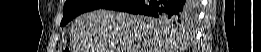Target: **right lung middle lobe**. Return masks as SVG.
<instances>
[{
  "instance_id": "dd1d6c3e",
  "label": "right lung middle lobe",
  "mask_w": 261,
  "mask_h": 52,
  "mask_svg": "<svg viewBox=\"0 0 261 52\" xmlns=\"http://www.w3.org/2000/svg\"><path fill=\"white\" fill-rule=\"evenodd\" d=\"M111 2L112 0H67L64 5L63 19L60 25L61 26L66 25L70 20H72L77 15L98 8H103L105 5ZM188 3L191 5L192 8L190 11L180 16L162 15L159 16L158 18L170 24L176 22L191 21L194 18V15H191L193 13L194 3L193 2H188Z\"/></svg>"
}]
</instances>
